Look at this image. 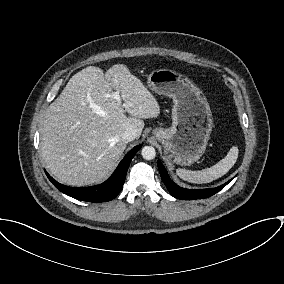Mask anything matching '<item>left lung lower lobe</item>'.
<instances>
[{"mask_svg":"<svg viewBox=\"0 0 284 284\" xmlns=\"http://www.w3.org/2000/svg\"><path fill=\"white\" fill-rule=\"evenodd\" d=\"M157 163H158V169H159L163 183L169 190L170 194L177 199L195 200V199H203V198L210 197L216 194L217 192H219L223 187H225L232 180V179L229 180L228 182L224 183L221 186L210 188V189H185V188L178 186L170 179V177L168 176L160 160H158Z\"/></svg>","mask_w":284,"mask_h":284,"instance_id":"obj_1","label":"left lung lower lobe"}]
</instances>
